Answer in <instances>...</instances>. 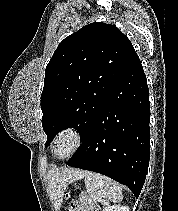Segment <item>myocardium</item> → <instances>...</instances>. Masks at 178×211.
Listing matches in <instances>:
<instances>
[{"instance_id":"obj_1","label":"myocardium","mask_w":178,"mask_h":211,"mask_svg":"<svg viewBox=\"0 0 178 211\" xmlns=\"http://www.w3.org/2000/svg\"><path fill=\"white\" fill-rule=\"evenodd\" d=\"M63 136H69L72 139V145L71 148L64 154H58L56 151V144L59 141V139ZM83 137L80 132V130L74 126H66L59 130L57 134L55 135L53 142H52V153L54 156L60 159L68 158L72 155H74L82 146Z\"/></svg>"}]
</instances>
